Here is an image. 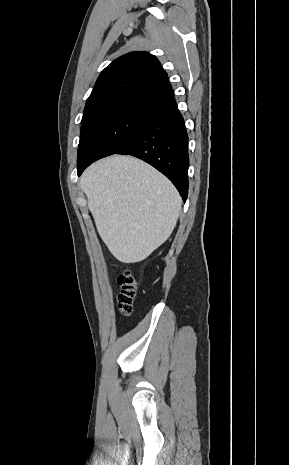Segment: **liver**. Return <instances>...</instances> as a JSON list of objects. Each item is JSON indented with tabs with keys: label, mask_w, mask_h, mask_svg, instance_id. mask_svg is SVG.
I'll return each mask as SVG.
<instances>
[{
	"label": "liver",
	"mask_w": 289,
	"mask_h": 465,
	"mask_svg": "<svg viewBox=\"0 0 289 465\" xmlns=\"http://www.w3.org/2000/svg\"><path fill=\"white\" fill-rule=\"evenodd\" d=\"M80 187L97 231L123 263H137L163 244L176 226L181 197L149 164L114 155L89 166Z\"/></svg>",
	"instance_id": "liver-1"
}]
</instances>
